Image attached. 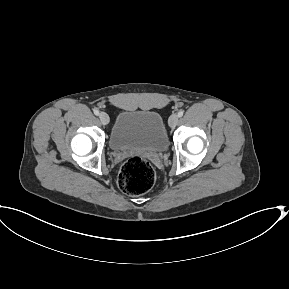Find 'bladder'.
I'll list each match as a JSON object with an SVG mask.
<instances>
[{"label":"bladder","instance_id":"bladder-1","mask_svg":"<svg viewBox=\"0 0 289 289\" xmlns=\"http://www.w3.org/2000/svg\"><path fill=\"white\" fill-rule=\"evenodd\" d=\"M109 146L115 152H165L168 148V136L162 117L152 110L120 112L110 132Z\"/></svg>","mask_w":289,"mask_h":289}]
</instances>
